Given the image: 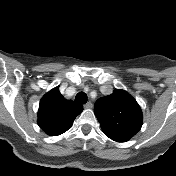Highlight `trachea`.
<instances>
[{
    "instance_id": "trachea-1",
    "label": "trachea",
    "mask_w": 176,
    "mask_h": 176,
    "mask_svg": "<svg viewBox=\"0 0 176 176\" xmlns=\"http://www.w3.org/2000/svg\"><path fill=\"white\" fill-rule=\"evenodd\" d=\"M75 102L80 104L87 103V96L84 92H79L75 97Z\"/></svg>"
}]
</instances>
